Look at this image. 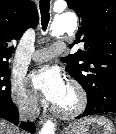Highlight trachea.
Instances as JSON below:
<instances>
[{
	"instance_id": "1",
	"label": "trachea",
	"mask_w": 116,
	"mask_h": 134,
	"mask_svg": "<svg viewBox=\"0 0 116 134\" xmlns=\"http://www.w3.org/2000/svg\"><path fill=\"white\" fill-rule=\"evenodd\" d=\"M41 25L43 31H46L50 20V0H40Z\"/></svg>"
}]
</instances>
